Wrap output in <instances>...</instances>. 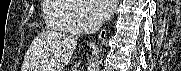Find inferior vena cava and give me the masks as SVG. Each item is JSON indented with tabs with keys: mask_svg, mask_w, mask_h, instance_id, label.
Instances as JSON below:
<instances>
[{
	"mask_svg": "<svg viewBox=\"0 0 181 71\" xmlns=\"http://www.w3.org/2000/svg\"><path fill=\"white\" fill-rule=\"evenodd\" d=\"M101 27V24L93 19H89L84 27L85 34H93L97 32Z\"/></svg>",
	"mask_w": 181,
	"mask_h": 71,
	"instance_id": "602c4592",
	"label": "inferior vena cava"
}]
</instances>
